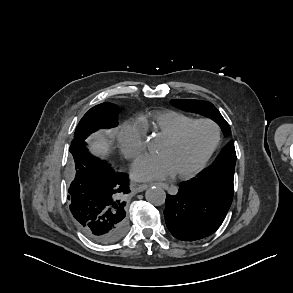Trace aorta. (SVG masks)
<instances>
[{
	"label": "aorta",
	"mask_w": 293,
	"mask_h": 293,
	"mask_svg": "<svg viewBox=\"0 0 293 293\" xmlns=\"http://www.w3.org/2000/svg\"><path fill=\"white\" fill-rule=\"evenodd\" d=\"M145 198L151 204L159 206L165 203L166 193L160 187H151L146 190Z\"/></svg>",
	"instance_id": "762f6f07"
}]
</instances>
